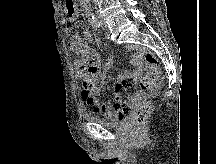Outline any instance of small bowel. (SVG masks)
Returning <instances> with one entry per match:
<instances>
[{"instance_id": "small-bowel-1", "label": "small bowel", "mask_w": 216, "mask_h": 164, "mask_svg": "<svg viewBox=\"0 0 216 164\" xmlns=\"http://www.w3.org/2000/svg\"><path fill=\"white\" fill-rule=\"evenodd\" d=\"M84 38L87 42L93 41V35L90 31L84 32ZM69 48L77 55L74 60V68L77 77L82 81L81 97L83 101L96 113H101L111 120H120L125 118L131 107L136 103V98L132 97L129 103L112 105L110 101L99 102V96L105 86V77L99 76L101 68V55L93 52L91 47L84 43L79 33H74L69 41ZM142 50H138L132 57V71H124L117 76L118 88L122 86L125 80L131 79L137 81L142 74ZM89 62L88 69H83ZM99 82V85L97 83Z\"/></svg>"}]
</instances>
